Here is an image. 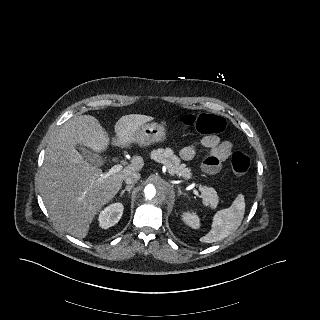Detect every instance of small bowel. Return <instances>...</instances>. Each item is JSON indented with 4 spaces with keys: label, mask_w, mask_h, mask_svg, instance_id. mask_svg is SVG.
Masks as SVG:
<instances>
[{
    "label": "small bowel",
    "mask_w": 320,
    "mask_h": 320,
    "mask_svg": "<svg viewBox=\"0 0 320 320\" xmlns=\"http://www.w3.org/2000/svg\"><path fill=\"white\" fill-rule=\"evenodd\" d=\"M200 146L207 150L202 162V170L209 175L218 174L224 162L232 154V144L229 141H222L218 135L211 134L202 138ZM198 151V146L189 145L180 150V157L184 161L194 159Z\"/></svg>",
    "instance_id": "small-bowel-1"
}]
</instances>
